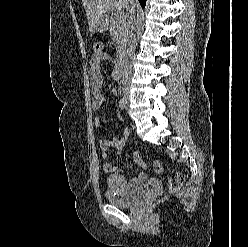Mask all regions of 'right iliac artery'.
Listing matches in <instances>:
<instances>
[{"mask_svg":"<svg viewBox=\"0 0 248 247\" xmlns=\"http://www.w3.org/2000/svg\"><path fill=\"white\" fill-rule=\"evenodd\" d=\"M119 107H120L122 110H124V109L126 108V105H125V102H124V99H123V98H121V99L119 100Z\"/></svg>","mask_w":248,"mask_h":247,"instance_id":"obj_1","label":"right iliac artery"}]
</instances>
